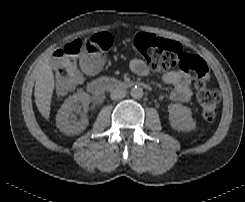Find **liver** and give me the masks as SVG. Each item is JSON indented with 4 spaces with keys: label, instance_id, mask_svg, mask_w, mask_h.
<instances>
[{
    "label": "liver",
    "instance_id": "liver-1",
    "mask_svg": "<svg viewBox=\"0 0 245 202\" xmlns=\"http://www.w3.org/2000/svg\"><path fill=\"white\" fill-rule=\"evenodd\" d=\"M54 86L55 81L52 68L48 62H44L39 67L34 96L36 106L45 119H49L50 117V106Z\"/></svg>",
    "mask_w": 245,
    "mask_h": 202
}]
</instances>
